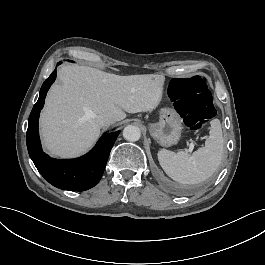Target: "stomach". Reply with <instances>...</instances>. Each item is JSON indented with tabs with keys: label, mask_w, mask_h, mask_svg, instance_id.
Instances as JSON below:
<instances>
[{
	"label": "stomach",
	"mask_w": 265,
	"mask_h": 265,
	"mask_svg": "<svg viewBox=\"0 0 265 265\" xmlns=\"http://www.w3.org/2000/svg\"><path fill=\"white\" fill-rule=\"evenodd\" d=\"M147 129L150 136L161 147H171L181 136L182 124L178 113L173 109H162L160 121L149 123Z\"/></svg>",
	"instance_id": "1"
}]
</instances>
